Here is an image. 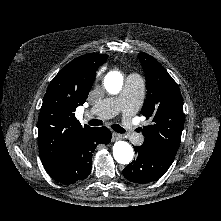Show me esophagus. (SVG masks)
<instances>
[{"instance_id": "obj_1", "label": "esophagus", "mask_w": 221, "mask_h": 221, "mask_svg": "<svg viewBox=\"0 0 221 221\" xmlns=\"http://www.w3.org/2000/svg\"><path fill=\"white\" fill-rule=\"evenodd\" d=\"M123 137H122V135L121 134H119V133H116V132H113L112 133V141L114 142V141H117V140H120V139H122Z\"/></svg>"}]
</instances>
